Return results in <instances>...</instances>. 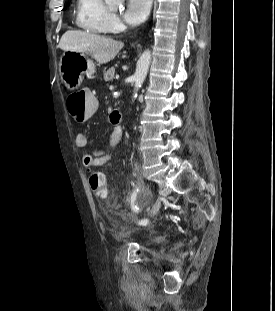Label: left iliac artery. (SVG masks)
Instances as JSON below:
<instances>
[{"mask_svg": "<svg viewBox=\"0 0 275 311\" xmlns=\"http://www.w3.org/2000/svg\"><path fill=\"white\" fill-rule=\"evenodd\" d=\"M135 166H136V164H135ZM136 169H137V167H136ZM137 192H138V189L136 188L133 191V193L131 194V208H132V210L134 212H138L139 211V208L135 205V199H136V196H137ZM146 222H147V220H141L138 223L142 225V224H144Z\"/></svg>", "mask_w": 275, "mask_h": 311, "instance_id": "44dca946", "label": "left iliac artery"}]
</instances>
